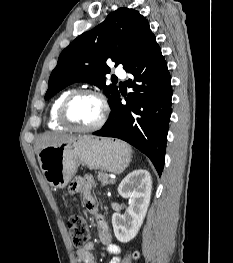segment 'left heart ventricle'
Listing matches in <instances>:
<instances>
[{"label": "left heart ventricle", "mask_w": 233, "mask_h": 263, "mask_svg": "<svg viewBox=\"0 0 233 263\" xmlns=\"http://www.w3.org/2000/svg\"><path fill=\"white\" fill-rule=\"evenodd\" d=\"M102 107L98 99L84 96L72 102L68 109L69 118L78 126L89 127L96 124Z\"/></svg>", "instance_id": "obj_1"}]
</instances>
